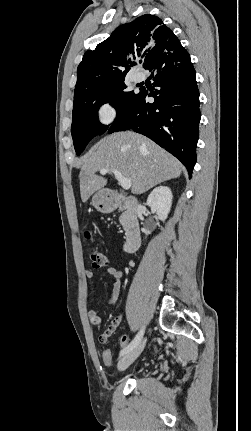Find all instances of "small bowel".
<instances>
[{"mask_svg":"<svg viewBox=\"0 0 251 431\" xmlns=\"http://www.w3.org/2000/svg\"><path fill=\"white\" fill-rule=\"evenodd\" d=\"M106 273L109 276L114 278V283H113L111 291H110L108 303L109 304H115L118 297H119V294H120L121 280L123 278V271L120 269H117L116 267L109 266L106 269ZM85 276L88 279H93L94 278V272L90 269H87V270H85ZM95 292H96V290L94 289L93 294ZM88 318H89V321H90L92 326L97 327V326H100L102 323V318L96 310H89L88 311ZM122 319H123V315L118 314L117 316H115L111 320V322L109 323L107 328L104 330V332L98 338L100 343L106 344L109 341L111 336L114 334L116 329L119 327ZM106 350H110V349H106Z\"/></svg>","mask_w":251,"mask_h":431,"instance_id":"small-bowel-1","label":"small bowel"}]
</instances>
